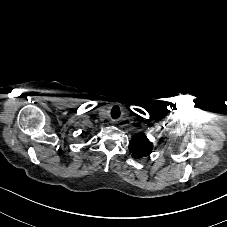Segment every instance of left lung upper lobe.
<instances>
[{"mask_svg":"<svg viewBox=\"0 0 227 227\" xmlns=\"http://www.w3.org/2000/svg\"><path fill=\"white\" fill-rule=\"evenodd\" d=\"M152 149L153 144L142 132L135 134L130 141L129 151L132 152V157L135 159L149 156Z\"/></svg>","mask_w":227,"mask_h":227,"instance_id":"5c2ea615","label":"left lung upper lobe"}]
</instances>
